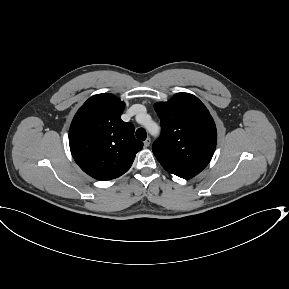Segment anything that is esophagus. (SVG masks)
<instances>
[{
	"mask_svg": "<svg viewBox=\"0 0 289 289\" xmlns=\"http://www.w3.org/2000/svg\"><path fill=\"white\" fill-rule=\"evenodd\" d=\"M150 143H151V139L148 137L145 141H144V147H149V145H150Z\"/></svg>",
	"mask_w": 289,
	"mask_h": 289,
	"instance_id": "obj_1",
	"label": "esophagus"
}]
</instances>
